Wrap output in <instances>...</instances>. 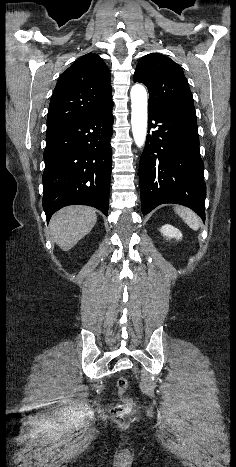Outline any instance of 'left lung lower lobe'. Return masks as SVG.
I'll return each mask as SVG.
<instances>
[{"instance_id":"left-lung-lower-lobe-1","label":"left lung lower lobe","mask_w":236,"mask_h":467,"mask_svg":"<svg viewBox=\"0 0 236 467\" xmlns=\"http://www.w3.org/2000/svg\"><path fill=\"white\" fill-rule=\"evenodd\" d=\"M148 115V135L139 163L143 215L160 204L175 203L191 208L204 221L206 184L196 113L149 108Z\"/></svg>"}]
</instances>
